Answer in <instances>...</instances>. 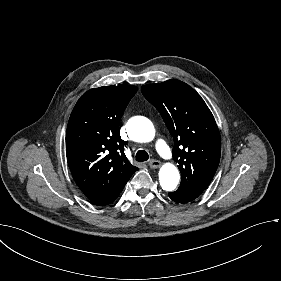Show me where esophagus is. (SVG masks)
<instances>
[{
	"label": "esophagus",
	"mask_w": 281,
	"mask_h": 281,
	"mask_svg": "<svg viewBox=\"0 0 281 281\" xmlns=\"http://www.w3.org/2000/svg\"><path fill=\"white\" fill-rule=\"evenodd\" d=\"M160 166H161V162L158 161V160H151V161L149 162V167H150L151 169H156V168H159Z\"/></svg>",
	"instance_id": "34e87169"
}]
</instances>
